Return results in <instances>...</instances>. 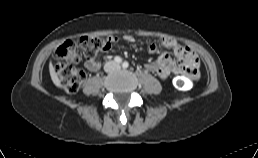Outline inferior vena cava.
<instances>
[{"instance_id":"602c4592","label":"inferior vena cava","mask_w":258,"mask_h":158,"mask_svg":"<svg viewBox=\"0 0 258 158\" xmlns=\"http://www.w3.org/2000/svg\"><path fill=\"white\" fill-rule=\"evenodd\" d=\"M108 64L113 65L115 68H118V65L114 62H109Z\"/></svg>"}]
</instances>
